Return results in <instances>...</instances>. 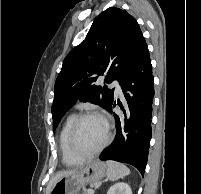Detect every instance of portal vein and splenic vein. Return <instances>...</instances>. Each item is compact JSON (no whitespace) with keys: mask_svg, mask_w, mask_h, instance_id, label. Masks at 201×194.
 <instances>
[{"mask_svg":"<svg viewBox=\"0 0 201 194\" xmlns=\"http://www.w3.org/2000/svg\"><path fill=\"white\" fill-rule=\"evenodd\" d=\"M88 194H94V190L93 189H89L88 190Z\"/></svg>","mask_w":201,"mask_h":194,"instance_id":"obj_1","label":"portal vein and splenic vein"}]
</instances>
